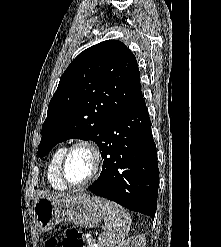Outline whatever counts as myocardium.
Returning a JSON list of instances; mask_svg holds the SVG:
<instances>
[{
    "label": "myocardium",
    "mask_w": 221,
    "mask_h": 247,
    "mask_svg": "<svg viewBox=\"0 0 221 247\" xmlns=\"http://www.w3.org/2000/svg\"><path fill=\"white\" fill-rule=\"evenodd\" d=\"M79 148L86 149L92 154L93 169L91 174L84 181L80 183H72L69 181V179L66 176V164L71 153ZM103 166H104V154L101 147L93 140L79 139L67 147L60 163L59 174L62 181L67 186H70L72 188H79L82 186H86L89 183H91L93 180H95L102 172Z\"/></svg>",
    "instance_id": "1"
}]
</instances>
